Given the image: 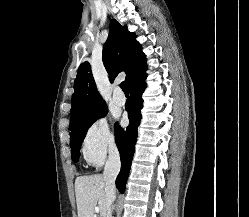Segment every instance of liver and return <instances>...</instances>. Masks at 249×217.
<instances>
[{
	"instance_id": "6515ba94",
	"label": "liver",
	"mask_w": 249,
	"mask_h": 217,
	"mask_svg": "<svg viewBox=\"0 0 249 217\" xmlns=\"http://www.w3.org/2000/svg\"><path fill=\"white\" fill-rule=\"evenodd\" d=\"M106 182L104 176L95 174L80 176L75 180V194L78 217H95V207H99L101 217H111L106 205Z\"/></svg>"
}]
</instances>
